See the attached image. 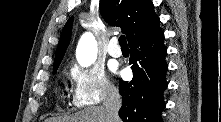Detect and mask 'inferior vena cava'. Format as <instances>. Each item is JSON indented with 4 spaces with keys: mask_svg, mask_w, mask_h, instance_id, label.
I'll list each match as a JSON object with an SVG mask.
<instances>
[{
    "mask_svg": "<svg viewBox=\"0 0 221 122\" xmlns=\"http://www.w3.org/2000/svg\"><path fill=\"white\" fill-rule=\"evenodd\" d=\"M121 96L118 90L107 87L104 89L103 106L106 110L108 122H118V112L121 108Z\"/></svg>",
    "mask_w": 221,
    "mask_h": 122,
    "instance_id": "1",
    "label": "inferior vena cava"
}]
</instances>
